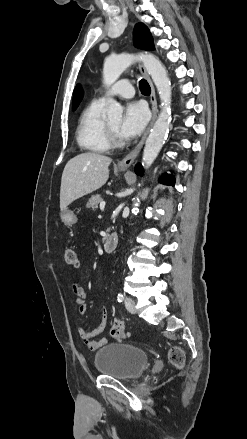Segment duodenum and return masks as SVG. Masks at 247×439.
Wrapping results in <instances>:
<instances>
[{
  "label": "duodenum",
  "instance_id": "410a0bca",
  "mask_svg": "<svg viewBox=\"0 0 247 439\" xmlns=\"http://www.w3.org/2000/svg\"><path fill=\"white\" fill-rule=\"evenodd\" d=\"M118 245V235L112 233L104 239V250L107 253L113 252Z\"/></svg>",
  "mask_w": 247,
  "mask_h": 439
}]
</instances>
